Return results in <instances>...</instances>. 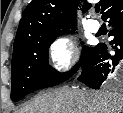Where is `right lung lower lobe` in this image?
Returning a JSON list of instances; mask_svg holds the SVG:
<instances>
[{
	"label": "right lung lower lobe",
	"instance_id": "1",
	"mask_svg": "<svg viewBox=\"0 0 123 113\" xmlns=\"http://www.w3.org/2000/svg\"><path fill=\"white\" fill-rule=\"evenodd\" d=\"M102 19L107 20L111 26L109 36L114 38L110 43L115 54H108L104 44L93 48L90 58L78 78L93 89H99L107 76L113 73L115 67L123 66V0H114Z\"/></svg>",
	"mask_w": 123,
	"mask_h": 113
}]
</instances>
